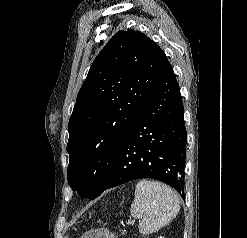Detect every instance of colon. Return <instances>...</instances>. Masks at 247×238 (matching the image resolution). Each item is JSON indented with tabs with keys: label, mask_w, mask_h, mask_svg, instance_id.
<instances>
[{
	"label": "colon",
	"mask_w": 247,
	"mask_h": 238,
	"mask_svg": "<svg viewBox=\"0 0 247 238\" xmlns=\"http://www.w3.org/2000/svg\"><path fill=\"white\" fill-rule=\"evenodd\" d=\"M81 238H118L117 235L107 228H93L86 231Z\"/></svg>",
	"instance_id": "obj_1"
}]
</instances>
